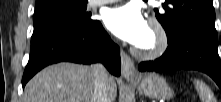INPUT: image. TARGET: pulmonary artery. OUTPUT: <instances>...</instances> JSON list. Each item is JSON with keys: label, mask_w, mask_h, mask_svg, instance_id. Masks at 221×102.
Instances as JSON below:
<instances>
[{"label": "pulmonary artery", "mask_w": 221, "mask_h": 102, "mask_svg": "<svg viewBox=\"0 0 221 102\" xmlns=\"http://www.w3.org/2000/svg\"><path fill=\"white\" fill-rule=\"evenodd\" d=\"M118 1L120 0H92L91 5L93 7H96V6H100L103 4H108V3L118 2Z\"/></svg>", "instance_id": "e3ab8cb5"}]
</instances>
